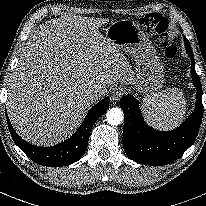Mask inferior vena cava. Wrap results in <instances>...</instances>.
<instances>
[{
    "mask_svg": "<svg viewBox=\"0 0 206 206\" xmlns=\"http://www.w3.org/2000/svg\"><path fill=\"white\" fill-rule=\"evenodd\" d=\"M104 96L103 93L101 92H93L89 95V99L92 101V102H97L99 101L100 99H102Z\"/></svg>",
    "mask_w": 206,
    "mask_h": 206,
    "instance_id": "obj_1",
    "label": "inferior vena cava"
}]
</instances>
